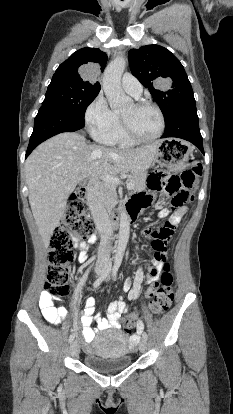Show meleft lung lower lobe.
<instances>
[{"label":"left lung lower lobe","mask_w":233,"mask_h":414,"mask_svg":"<svg viewBox=\"0 0 233 414\" xmlns=\"http://www.w3.org/2000/svg\"><path fill=\"white\" fill-rule=\"evenodd\" d=\"M168 137L187 140L204 154L195 100L182 103L165 121V132L162 138Z\"/></svg>","instance_id":"0a47b994"}]
</instances>
